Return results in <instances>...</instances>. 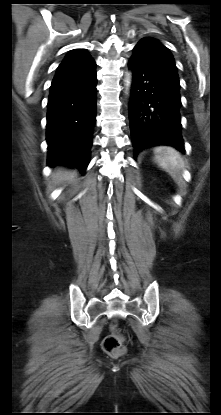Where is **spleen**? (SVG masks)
I'll list each match as a JSON object with an SVG mask.
<instances>
[{
	"mask_svg": "<svg viewBox=\"0 0 221 415\" xmlns=\"http://www.w3.org/2000/svg\"><path fill=\"white\" fill-rule=\"evenodd\" d=\"M154 160L160 168L165 170L175 180L182 179L183 160L179 152L168 146H160L154 149Z\"/></svg>",
	"mask_w": 221,
	"mask_h": 415,
	"instance_id": "spleen-1",
	"label": "spleen"
}]
</instances>
